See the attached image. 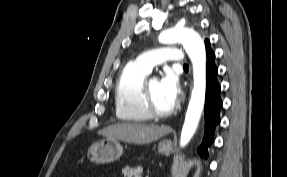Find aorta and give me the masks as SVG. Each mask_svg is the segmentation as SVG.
<instances>
[{
    "mask_svg": "<svg viewBox=\"0 0 287 177\" xmlns=\"http://www.w3.org/2000/svg\"><path fill=\"white\" fill-rule=\"evenodd\" d=\"M163 44L181 42L193 66L194 85L180 135V146L192 139L203 111L206 92V51L201 37L188 28L175 27L159 36Z\"/></svg>",
    "mask_w": 287,
    "mask_h": 177,
    "instance_id": "762f6f07",
    "label": "aorta"
}]
</instances>
